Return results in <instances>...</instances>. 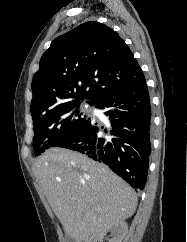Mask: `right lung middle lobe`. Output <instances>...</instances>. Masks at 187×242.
<instances>
[{
    "instance_id": "right-lung-middle-lobe-1",
    "label": "right lung middle lobe",
    "mask_w": 187,
    "mask_h": 242,
    "mask_svg": "<svg viewBox=\"0 0 187 242\" xmlns=\"http://www.w3.org/2000/svg\"><path fill=\"white\" fill-rule=\"evenodd\" d=\"M80 102H72L32 117L34 121L33 148L40 155L59 140L69 136L86 120L79 111Z\"/></svg>"
}]
</instances>
